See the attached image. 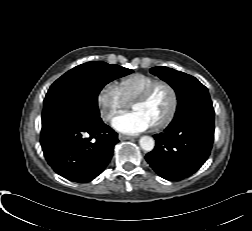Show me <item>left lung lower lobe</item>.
<instances>
[{
  "mask_svg": "<svg viewBox=\"0 0 252 231\" xmlns=\"http://www.w3.org/2000/svg\"><path fill=\"white\" fill-rule=\"evenodd\" d=\"M212 104H197L175 114L168 127L154 135L156 146L146 161L164 179L179 181L207 160L214 139Z\"/></svg>",
  "mask_w": 252,
  "mask_h": 231,
  "instance_id": "left-lung-lower-lobe-1",
  "label": "left lung lower lobe"
}]
</instances>
